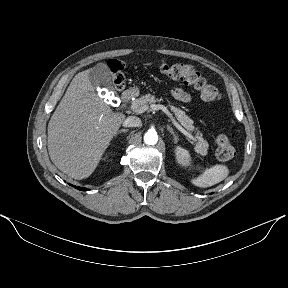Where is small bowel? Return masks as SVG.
<instances>
[{
    "label": "small bowel",
    "instance_id": "c3829d8e",
    "mask_svg": "<svg viewBox=\"0 0 288 288\" xmlns=\"http://www.w3.org/2000/svg\"><path fill=\"white\" fill-rule=\"evenodd\" d=\"M171 93L176 100H179L184 103H188L191 101L190 94L181 88H174Z\"/></svg>",
    "mask_w": 288,
    "mask_h": 288
}]
</instances>
